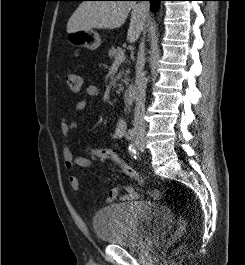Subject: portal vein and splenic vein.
<instances>
[{"mask_svg":"<svg viewBox=\"0 0 245 265\" xmlns=\"http://www.w3.org/2000/svg\"><path fill=\"white\" fill-rule=\"evenodd\" d=\"M125 60V54L124 53H121L119 54L116 58H115V61L114 63H121Z\"/></svg>","mask_w":245,"mask_h":265,"instance_id":"obj_1","label":"portal vein and splenic vein"}]
</instances>
